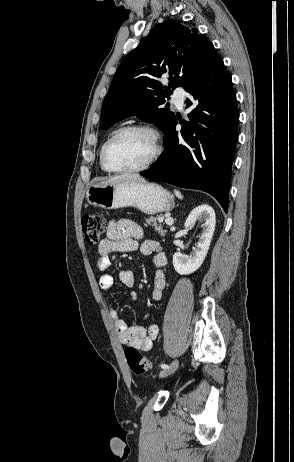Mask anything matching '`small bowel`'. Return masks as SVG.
Masks as SVG:
<instances>
[{
    "mask_svg": "<svg viewBox=\"0 0 294 462\" xmlns=\"http://www.w3.org/2000/svg\"><path fill=\"white\" fill-rule=\"evenodd\" d=\"M142 236L140 227L129 219L111 220L108 223L106 237L98 245V259L96 268L106 272L112 266L111 254L114 252H133L139 246ZM143 255H153V266L156 271L153 277L152 299L161 301L166 287V278L161 268L166 264V257L157 241L145 240L140 244ZM120 282L127 288L135 285V275L132 270L124 269L119 272ZM114 280L109 273L101 275L100 288L108 292L113 286ZM134 300L137 299L135 292L131 293ZM109 314L114 322L119 339L122 343L141 351H149L159 334V328L155 324L147 327L141 325H129L122 319L114 308L109 309Z\"/></svg>",
    "mask_w": 294,
    "mask_h": 462,
    "instance_id": "c3829d8e",
    "label": "small bowel"
}]
</instances>
